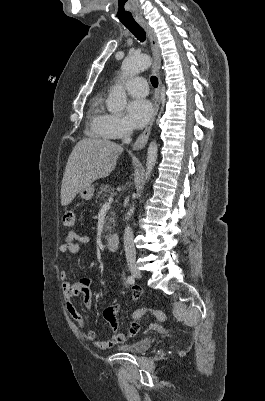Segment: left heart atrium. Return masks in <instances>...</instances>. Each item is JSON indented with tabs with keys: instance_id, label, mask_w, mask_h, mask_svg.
I'll return each instance as SVG.
<instances>
[{
	"instance_id": "1",
	"label": "left heart atrium",
	"mask_w": 265,
	"mask_h": 401,
	"mask_svg": "<svg viewBox=\"0 0 265 401\" xmlns=\"http://www.w3.org/2000/svg\"><path fill=\"white\" fill-rule=\"evenodd\" d=\"M126 115L135 128H141L150 121L152 106L147 100H131L126 106Z\"/></svg>"
}]
</instances>
